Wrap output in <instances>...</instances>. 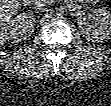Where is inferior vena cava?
Listing matches in <instances>:
<instances>
[{
	"label": "inferior vena cava",
	"instance_id": "obj_1",
	"mask_svg": "<svg viewBox=\"0 0 111 106\" xmlns=\"http://www.w3.org/2000/svg\"><path fill=\"white\" fill-rule=\"evenodd\" d=\"M46 6H47V1H45V0H35L33 9L36 12H47L48 8Z\"/></svg>",
	"mask_w": 111,
	"mask_h": 106
}]
</instances>
